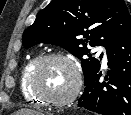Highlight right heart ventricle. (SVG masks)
I'll list each match as a JSON object with an SVG mask.
<instances>
[{
	"instance_id": "1",
	"label": "right heart ventricle",
	"mask_w": 131,
	"mask_h": 115,
	"mask_svg": "<svg viewBox=\"0 0 131 115\" xmlns=\"http://www.w3.org/2000/svg\"><path fill=\"white\" fill-rule=\"evenodd\" d=\"M40 58V55H35L28 59L21 70L19 78V88L23 98L27 103L37 107L42 106L43 102L32 93L29 85V79L33 67Z\"/></svg>"
}]
</instances>
